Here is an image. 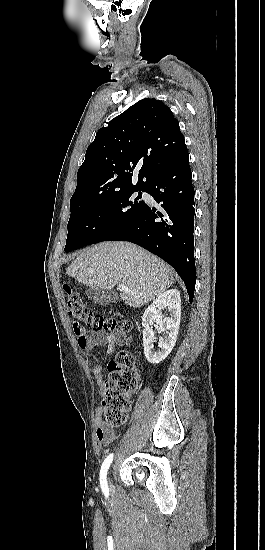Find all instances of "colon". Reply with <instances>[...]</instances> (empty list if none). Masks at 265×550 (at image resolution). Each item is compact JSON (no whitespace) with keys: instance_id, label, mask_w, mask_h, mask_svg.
Returning a JSON list of instances; mask_svg holds the SVG:
<instances>
[{"instance_id":"obj_1","label":"colon","mask_w":265,"mask_h":550,"mask_svg":"<svg viewBox=\"0 0 265 550\" xmlns=\"http://www.w3.org/2000/svg\"><path fill=\"white\" fill-rule=\"evenodd\" d=\"M70 316L95 331H127L130 325L123 321L107 318L100 313L91 312L82 297L69 285L64 286ZM109 376L104 386L102 409L104 424L108 428L122 426L131 409L130 397L136 391L139 374L134 356L130 351L122 350L108 364Z\"/></svg>"}]
</instances>
